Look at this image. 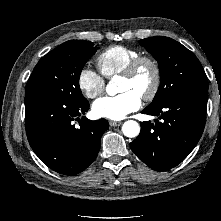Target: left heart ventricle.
Wrapping results in <instances>:
<instances>
[{
    "label": "left heart ventricle",
    "mask_w": 221,
    "mask_h": 221,
    "mask_svg": "<svg viewBox=\"0 0 221 221\" xmlns=\"http://www.w3.org/2000/svg\"><path fill=\"white\" fill-rule=\"evenodd\" d=\"M153 81V72L152 69L145 65L143 66L135 78L133 79H126L121 77L119 81V92L125 91H133L138 95H142L146 93Z\"/></svg>",
    "instance_id": "1"
}]
</instances>
